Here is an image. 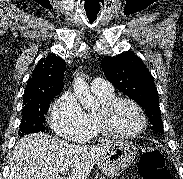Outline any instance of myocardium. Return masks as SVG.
<instances>
[{
    "label": "myocardium",
    "instance_id": "1",
    "mask_svg": "<svg viewBox=\"0 0 183 179\" xmlns=\"http://www.w3.org/2000/svg\"><path fill=\"white\" fill-rule=\"evenodd\" d=\"M121 103L131 104L134 108L137 109V111L141 116V119H142L141 126L135 132L119 133L113 130L109 125V119L112 113ZM95 122L101 134H103L106 137L115 138V139L134 138L140 135L146 129L148 124L147 116L142 106L135 100L128 97H114L108 100L107 102L102 103L99 110L95 113Z\"/></svg>",
    "mask_w": 183,
    "mask_h": 179
}]
</instances>
